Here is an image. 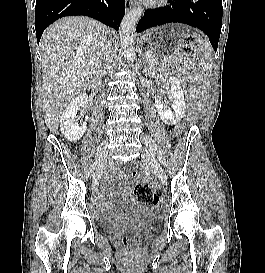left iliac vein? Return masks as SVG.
<instances>
[{
	"mask_svg": "<svg viewBox=\"0 0 265 273\" xmlns=\"http://www.w3.org/2000/svg\"><path fill=\"white\" fill-rule=\"evenodd\" d=\"M144 139H148V140L153 141L154 146H157L156 143L154 142V140L150 136L145 135L143 137V141L145 142ZM142 159L151 168V170L156 174V176L159 178V180L163 184H166L167 176H166L163 168L161 167V165L159 164L157 159L151 154V152L147 148H145L143 151Z\"/></svg>",
	"mask_w": 265,
	"mask_h": 273,
	"instance_id": "left-iliac-vein-1",
	"label": "left iliac vein"
}]
</instances>
